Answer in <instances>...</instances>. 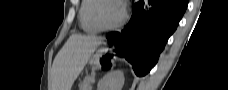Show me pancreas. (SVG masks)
I'll return each mask as SVG.
<instances>
[{"label":"pancreas","mask_w":228,"mask_h":90,"mask_svg":"<svg viewBox=\"0 0 228 90\" xmlns=\"http://www.w3.org/2000/svg\"><path fill=\"white\" fill-rule=\"evenodd\" d=\"M92 82H94V75H88L85 77L83 82L80 84V90H91L92 89Z\"/></svg>","instance_id":"cf45deb5"}]
</instances>
